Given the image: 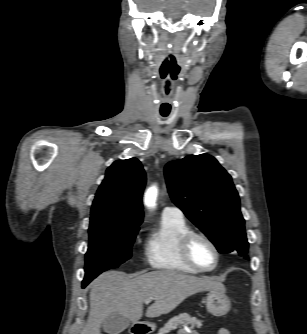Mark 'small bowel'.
Segmentation results:
<instances>
[{
    "instance_id": "obj_1",
    "label": "small bowel",
    "mask_w": 307,
    "mask_h": 334,
    "mask_svg": "<svg viewBox=\"0 0 307 334\" xmlns=\"http://www.w3.org/2000/svg\"><path fill=\"white\" fill-rule=\"evenodd\" d=\"M216 334H230V332L226 328H220Z\"/></svg>"
}]
</instances>
